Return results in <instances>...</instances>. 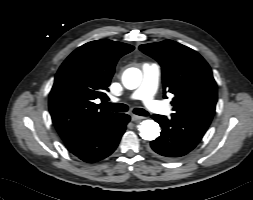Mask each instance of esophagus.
Returning a JSON list of instances; mask_svg holds the SVG:
<instances>
[{"label": "esophagus", "mask_w": 253, "mask_h": 200, "mask_svg": "<svg viewBox=\"0 0 253 200\" xmlns=\"http://www.w3.org/2000/svg\"><path fill=\"white\" fill-rule=\"evenodd\" d=\"M142 119H143V117L138 116V115H132V116H131V120H132L133 122H137V121H140V120H142Z\"/></svg>", "instance_id": "1"}]
</instances>
